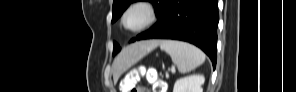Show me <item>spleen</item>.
Instances as JSON below:
<instances>
[{
    "label": "spleen",
    "mask_w": 296,
    "mask_h": 92,
    "mask_svg": "<svg viewBox=\"0 0 296 92\" xmlns=\"http://www.w3.org/2000/svg\"><path fill=\"white\" fill-rule=\"evenodd\" d=\"M160 48L171 56L181 73L189 72L205 61V54L189 43L165 40L160 43Z\"/></svg>",
    "instance_id": "obj_1"
}]
</instances>
